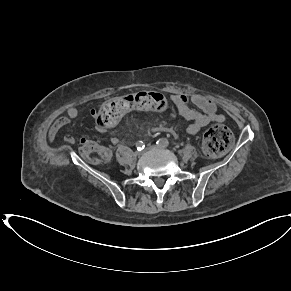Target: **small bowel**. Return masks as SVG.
I'll list each match as a JSON object with an SVG mask.
<instances>
[{
	"mask_svg": "<svg viewBox=\"0 0 291 291\" xmlns=\"http://www.w3.org/2000/svg\"><path fill=\"white\" fill-rule=\"evenodd\" d=\"M171 100L177 110V113L189 121L187 127V133L194 135L200 129L208 126L210 123H223L225 121V115L220 113L215 102L211 99L201 95V94H174L171 96ZM92 115L97 116L98 111L92 110ZM80 114L78 107H70L64 116L59 117L51 125L48 132V141L53 143L59 131L69 125L73 120H75ZM65 142L68 145H73L76 139L72 135H67L65 137ZM81 144L88 142V139L82 137L79 139ZM113 144L119 143L117 137L111 139Z\"/></svg>",
	"mask_w": 291,
	"mask_h": 291,
	"instance_id": "obj_1",
	"label": "small bowel"
}]
</instances>
